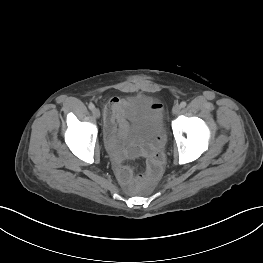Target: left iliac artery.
<instances>
[{"label":"left iliac artery","mask_w":263,"mask_h":263,"mask_svg":"<svg viewBox=\"0 0 263 263\" xmlns=\"http://www.w3.org/2000/svg\"><path fill=\"white\" fill-rule=\"evenodd\" d=\"M186 105H187V103L185 101L180 103L181 108H184Z\"/></svg>","instance_id":"1"}]
</instances>
